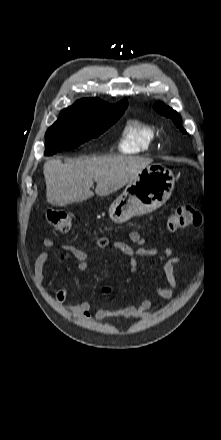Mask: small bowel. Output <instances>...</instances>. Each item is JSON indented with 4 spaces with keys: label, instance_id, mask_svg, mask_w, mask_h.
<instances>
[{
    "label": "small bowel",
    "instance_id": "obj_1",
    "mask_svg": "<svg viewBox=\"0 0 221 440\" xmlns=\"http://www.w3.org/2000/svg\"><path fill=\"white\" fill-rule=\"evenodd\" d=\"M129 239L139 245L145 243V239L137 231H131L129 233ZM46 250L41 252L35 261V278L38 281L43 279V273L45 265L49 259L48 249L55 246V242L52 239H46L43 242ZM112 248L118 250L122 255L127 258L128 270L131 275L135 274L138 270V259L146 257L150 262L162 263L163 273L168 287H163L155 284V291L157 297L153 299L141 300L137 305L128 306L125 308L111 310L108 307H101L95 313L91 312V305L89 302H82L79 304H67L66 299L69 294V289L64 287L56 292V300L63 308L73 312L75 315L85 319L103 320L110 317H122L126 319L143 318L148 314V311L152 309L158 298L171 299L174 297L178 288V282L175 276V267L181 264V257L175 255L170 247L159 251L156 248H132L129 244L124 242H115L112 244ZM64 256L66 259H75L77 261V268L79 270H86L89 267L88 254L76 247L65 245L62 247Z\"/></svg>",
    "mask_w": 221,
    "mask_h": 440
}]
</instances>
